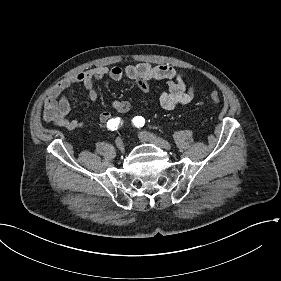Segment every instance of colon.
I'll return each mask as SVG.
<instances>
[{
  "label": "colon",
  "instance_id": "5ec220e1",
  "mask_svg": "<svg viewBox=\"0 0 281 281\" xmlns=\"http://www.w3.org/2000/svg\"><path fill=\"white\" fill-rule=\"evenodd\" d=\"M209 100L211 103L218 104L221 102V96L218 93H211L209 96Z\"/></svg>",
  "mask_w": 281,
  "mask_h": 281
}]
</instances>
